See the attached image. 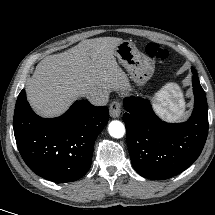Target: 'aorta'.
I'll use <instances>...</instances> for the list:
<instances>
[{"instance_id":"1","label":"aorta","mask_w":215,"mask_h":215,"mask_svg":"<svg viewBox=\"0 0 215 215\" xmlns=\"http://www.w3.org/2000/svg\"><path fill=\"white\" fill-rule=\"evenodd\" d=\"M109 134L114 138H121L125 134V127L122 122L114 120L109 124Z\"/></svg>"}]
</instances>
